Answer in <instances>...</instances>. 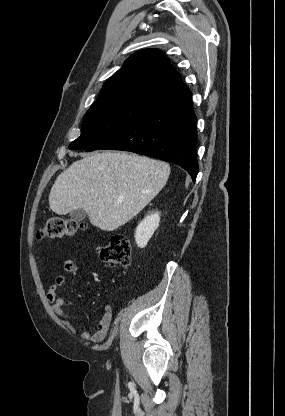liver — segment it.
<instances>
[{
    "label": "liver",
    "instance_id": "6515ba94",
    "mask_svg": "<svg viewBox=\"0 0 285 416\" xmlns=\"http://www.w3.org/2000/svg\"><path fill=\"white\" fill-rule=\"evenodd\" d=\"M169 164L128 152H94L71 164L49 194L52 212L84 210L90 224L113 232L137 216L164 188Z\"/></svg>",
    "mask_w": 285,
    "mask_h": 416
}]
</instances>
